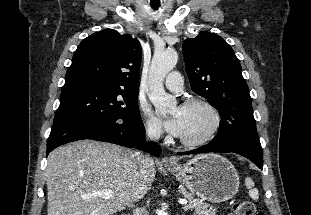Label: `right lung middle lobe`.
<instances>
[{"label": "right lung middle lobe", "mask_w": 311, "mask_h": 215, "mask_svg": "<svg viewBox=\"0 0 311 215\" xmlns=\"http://www.w3.org/2000/svg\"><path fill=\"white\" fill-rule=\"evenodd\" d=\"M138 91L98 84L64 86L54 122L92 120L131 123L140 118Z\"/></svg>", "instance_id": "obj_1"}]
</instances>
